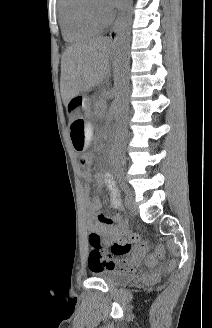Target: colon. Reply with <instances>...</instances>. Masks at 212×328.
Instances as JSON below:
<instances>
[{"mask_svg":"<svg viewBox=\"0 0 212 328\" xmlns=\"http://www.w3.org/2000/svg\"><path fill=\"white\" fill-rule=\"evenodd\" d=\"M92 158L90 153H80L78 157L79 169L80 170H92L93 164L91 163ZM89 244L91 246V252L89 254L88 264L96 266L102 269H110L113 267V262L110 255L103 253L101 247L100 236L92 232L89 235ZM148 243L143 241L138 234H131L130 240H119L115 242L111 247V252L114 256H126L131 253L145 252L148 248ZM164 257V248L162 245H157L155 252L148 255L145 258V263L149 266L156 264L159 260ZM176 262L171 261L168 265V269H174Z\"/></svg>","mask_w":212,"mask_h":328,"instance_id":"1","label":"colon"}]
</instances>
